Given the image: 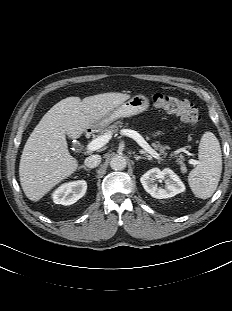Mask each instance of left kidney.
I'll list each match as a JSON object with an SVG mask.
<instances>
[{
  "label": "left kidney",
  "instance_id": "obj_1",
  "mask_svg": "<svg viewBox=\"0 0 232 311\" xmlns=\"http://www.w3.org/2000/svg\"><path fill=\"white\" fill-rule=\"evenodd\" d=\"M166 179L167 186L158 188L155 184V180ZM140 181L147 193L156 199L170 198L179 194L185 190V185L171 169L165 168L160 170L159 168H152L143 174Z\"/></svg>",
  "mask_w": 232,
  "mask_h": 311
}]
</instances>
